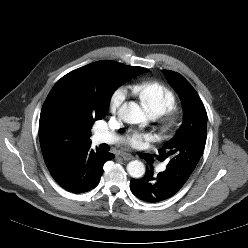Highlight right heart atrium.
Instances as JSON below:
<instances>
[{
	"instance_id": "1",
	"label": "right heart atrium",
	"mask_w": 248,
	"mask_h": 248,
	"mask_svg": "<svg viewBox=\"0 0 248 248\" xmlns=\"http://www.w3.org/2000/svg\"><path fill=\"white\" fill-rule=\"evenodd\" d=\"M126 99V90L123 87H117L113 90L109 98V109L113 112L119 110Z\"/></svg>"
}]
</instances>
